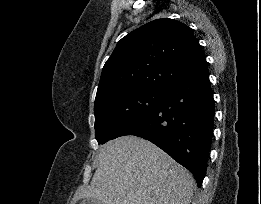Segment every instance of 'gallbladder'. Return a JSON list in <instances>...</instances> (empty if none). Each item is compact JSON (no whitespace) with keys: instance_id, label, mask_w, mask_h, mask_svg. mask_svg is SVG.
Listing matches in <instances>:
<instances>
[{"instance_id":"bac80fb5","label":"gallbladder","mask_w":261,"mask_h":204,"mask_svg":"<svg viewBox=\"0 0 261 204\" xmlns=\"http://www.w3.org/2000/svg\"><path fill=\"white\" fill-rule=\"evenodd\" d=\"M79 204H101V203L98 202V201L95 200V199L85 198V199L81 200V201L79 202Z\"/></svg>"}]
</instances>
